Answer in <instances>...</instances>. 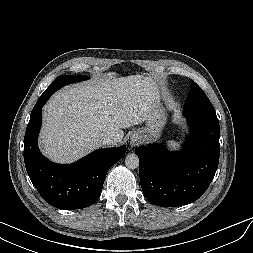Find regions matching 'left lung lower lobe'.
Segmentation results:
<instances>
[{
	"label": "left lung lower lobe",
	"instance_id": "0a47b994",
	"mask_svg": "<svg viewBox=\"0 0 253 253\" xmlns=\"http://www.w3.org/2000/svg\"><path fill=\"white\" fill-rule=\"evenodd\" d=\"M183 115L191 134L181 152L171 153L156 144L135 149L142 191L159 206L194 202L207 190L218 167L220 128L216 114Z\"/></svg>",
	"mask_w": 253,
	"mask_h": 253
}]
</instances>
